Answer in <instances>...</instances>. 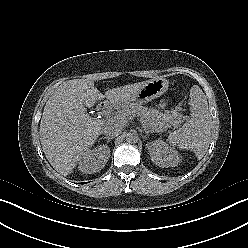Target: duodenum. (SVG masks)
Instances as JSON below:
<instances>
[{
	"mask_svg": "<svg viewBox=\"0 0 248 248\" xmlns=\"http://www.w3.org/2000/svg\"><path fill=\"white\" fill-rule=\"evenodd\" d=\"M111 107H112L111 103L104 102V103L99 105L98 113L99 114H106L111 109Z\"/></svg>",
	"mask_w": 248,
	"mask_h": 248,
	"instance_id": "duodenum-1",
	"label": "duodenum"
}]
</instances>
